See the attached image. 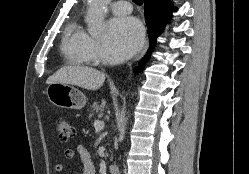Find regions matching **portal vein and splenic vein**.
<instances>
[{
  "label": "portal vein and splenic vein",
  "instance_id": "1",
  "mask_svg": "<svg viewBox=\"0 0 249 174\" xmlns=\"http://www.w3.org/2000/svg\"><path fill=\"white\" fill-rule=\"evenodd\" d=\"M105 124L103 121H100V120H96L94 121V128L96 130H102L104 128Z\"/></svg>",
  "mask_w": 249,
  "mask_h": 174
}]
</instances>
